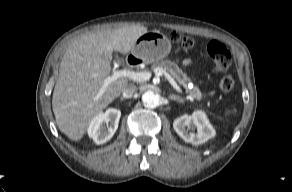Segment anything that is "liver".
<instances>
[{"mask_svg": "<svg viewBox=\"0 0 292 192\" xmlns=\"http://www.w3.org/2000/svg\"><path fill=\"white\" fill-rule=\"evenodd\" d=\"M147 32L144 26L103 29L81 35L68 46L60 63L52 108L58 128L69 139L80 140L91 121L128 85L127 79L119 78L98 97L110 77L113 50L130 52Z\"/></svg>", "mask_w": 292, "mask_h": 192, "instance_id": "1", "label": "liver"}]
</instances>
